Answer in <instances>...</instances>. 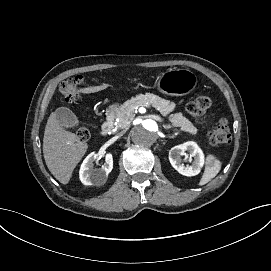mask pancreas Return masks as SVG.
Wrapping results in <instances>:
<instances>
[{"mask_svg": "<svg viewBox=\"0 0 271 271\" xmlns=\"http://www.w3.org/2000/svg\"><path fill=\"white\" fill-rule=\"evenodd\" d=\"M141 99L142 103H150L154 108H156L162 116L168 117L172 125L180 128L182 131L195 135L197 133V128L191 124V122L182 114L174 113L169 115L170 111H175L176 107L173 102L162 99L153 94H145L126 102L119 110L117 118L119 119L118 128H125L130 125L134 119V111L138 107L137 100Z\"/></svg>", "mask_w": 271, "mask_h": 271, "instance_id": "obj_1", "label": "pancreas"}]
</instances>
